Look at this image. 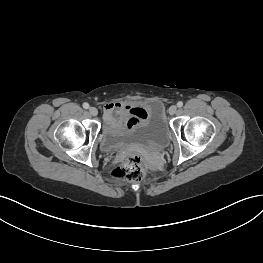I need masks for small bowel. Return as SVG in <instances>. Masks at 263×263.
Masks as SVG:
<instances>
[{
	"label": "small bowel",
	"instance_id": "obj_1",
	"mask_svg": "<svg viewBox=\"0 0 263 263\" xmlns=\"http://www.w3.org/2000/svg\"><path fill=\"white\" fill-rule=\"evenodd\" d=\"M123 109H127L128 111L131 112L133 120H136L140 115L144 113L143 108L139 105L131 106V105H122L121 103H110L106 105L104 109V115L106 120H110L114 112Z\"/></svg>",
	"mask_w": 263,
	"mask_h": 263
}]
</instances>
